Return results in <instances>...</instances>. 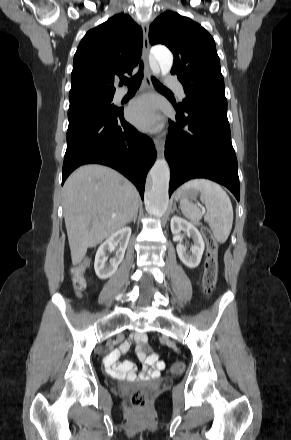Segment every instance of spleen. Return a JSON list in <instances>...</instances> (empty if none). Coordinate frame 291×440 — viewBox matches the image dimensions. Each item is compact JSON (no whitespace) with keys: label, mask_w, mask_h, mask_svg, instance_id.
Segmentation results:
<instances>
[{"label":"spleen","mask_w":291,"mask_h":440,"mask_svg":"<svg viewBox=\"0 0 291 440\" xmlns=\"http://www.w3.org/2000/svg\"><path fill=\"white\" fill-rule=\"evenodd\" d=\"M189 189L201 192L200 199L207 209L204 221L210 226L216 240L225 243L233 224V208L229 196L219 184L204 178L190 180L182 187L183 191ZM180 209L192 221H198L203 216L200 209L187 199L180 200Z\"/></svg>","instance_id":"3e777b00"}]
</instances>
